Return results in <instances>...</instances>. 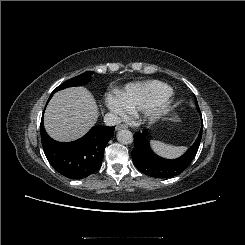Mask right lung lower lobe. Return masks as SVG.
<instances>
[{"label": "right lung lower lobe", "mask_w": 245, "mask_h": 245, "mask_svg": "<svg viewBox=\"0 0 245 245\" xmlns=\"http://www.w3.org/2000/svg\"><path fill=\"white\" fill-rule=\"evenodd\" d=\"M114 129L115 127L94 126L79 140L62 143L48 136L42 119L41 142L49 163L56 171L70 179H82L101 167L104 149L113 136Z\"/></svg>", "instance_id": "obj_1"}]
</instances>
